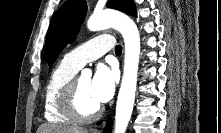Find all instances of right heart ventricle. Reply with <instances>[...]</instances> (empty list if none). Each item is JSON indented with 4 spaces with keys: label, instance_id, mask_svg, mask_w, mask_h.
Returning <instances> with one entry per match:
<instances>
[{
    "label": "right heart ventricle",
    "instance_id": "right-heart-ventricle-1",
    "mask_svg": "<svg viewBox=\"0 0 221 133\" xmlns=\"http://www.w3.org/2000/svg\"><path fill=\"white\" fill-rule=\"evenodd\" d=\"M78 68L62 60L50 73L44 89V117L48 122L56 124H69L70 118L65 116L58 104L59 93L61 89L78 72Z\"/></svg>",
    "mask_w": 221,
    "mask_h": 133
}]
</instances>
